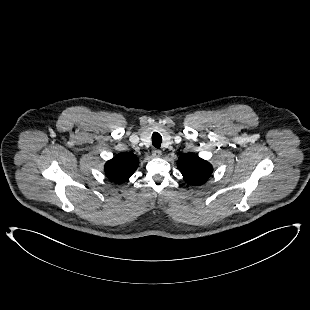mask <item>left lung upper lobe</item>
Instances as JSON below:
<instances>
[{"instance_id":"obj_1","label":"left lung upper lobe","mask_w":310,"mask_h":310,"mask_svg":"<svg viewBox=\"0 0 310 310\" xmlns=\"http://www.w3.org/2000/svg\"><path fill=\"white\" fill-rule=\"evenodd\" d=\"M177 167L184 181L190 185L203 184L210 177L213 168L210 163L194 153H186L178 158Z\"/></svg>"}]
</instances>
